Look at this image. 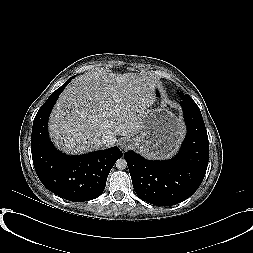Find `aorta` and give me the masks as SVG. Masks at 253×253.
<instances>
[{
    "label": "aorta",
    "mask_w": 253,
    "mask_h": 253,
    "mask_svg": "<svg viewBox=\"0 0 253 253\" xmlns=\"http://www.w3.org/2000/svg\"><path fill=\"white\" fill-rule=\"evenodd\" d=\"M116 168L119 170H124L127 167V162L124 158H119L116 163Z\"/></svg>",
    "instance_id": "aorta-1"
}]
</instances>
